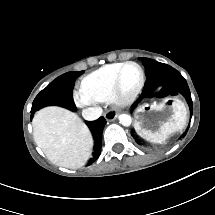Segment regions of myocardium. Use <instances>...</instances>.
I'll return each mask as SVG.
<instances>
[{
	"label": "myocardium",
	"instance_id": "f54148a6",
	"mask_svg": "<svg viewBox=\"0 0 215 215\" xmlns=\"http://www.w3.org/2000/svg\"><path fill=\"white\" fill-rule=\"evenodd\" d=\"M126 66H133L138 71V80L132 89L131 93L119 90V82L121 79L122 70H125ZM145 83V74L142 67L135 61H125L119 65L117 69L111 90H109V96L112 104L118 107H129L132 105L133 101L137 98L142 87Z\"/></svg>",
	"mask_w": 215,
	"mask_h": 215
}]
</instances>
